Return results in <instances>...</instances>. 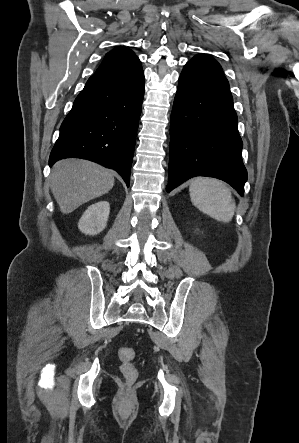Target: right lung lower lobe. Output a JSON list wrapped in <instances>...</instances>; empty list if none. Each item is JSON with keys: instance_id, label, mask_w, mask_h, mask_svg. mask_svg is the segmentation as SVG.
<instances>
[{"instance_id": "98d812e1", "label": "right lung lower lobe", "mask_w": 299, "mask_h": 443, "mask_svg": "<svg viewBox=\"0 0 299 443\" xmlns=\"http://www.w3.org/2000/svg\"><path fill=\"white\" fill-rule=\"evenodd\" d=\"M144 97V73L94 74L60 127L49 158L88 159L117 171L127 186Z\"/></svg>"}]
</instances>
